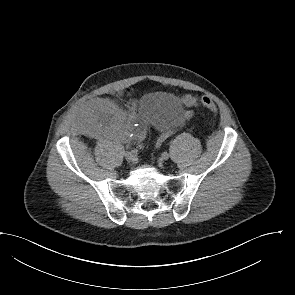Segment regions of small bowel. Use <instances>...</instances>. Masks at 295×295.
I'll use <instances>...</instances> for the list:
<instances>
[{
	"label": "small bowel",
	"mask_w": 295,
	"mask_h": 295,
	"mask_svg": "<svg viewBox=\"0 0 295 295\" xmlns=\"http://www.w3.org/2000/svg\"><path fill=\"white\" fill-rule=\"evenodd\" d=\"M193 98L188 94L180 96V100L189 106ZM132 103L134 104V101ZM190 115L191 113L187 112L185 118H189ZM82 119L96 132L115 140L126 141L131 139L137 144H141L148 134L146 124L138 120L134 110L130 112L120 110L107 99L88 101L83 108ZM172 133L173 130L164 132L160 141H163Z\"/></svg>",
	"instance_id": "small-bowel-1"
}]
</instances>
